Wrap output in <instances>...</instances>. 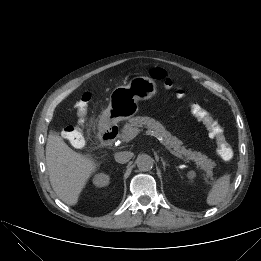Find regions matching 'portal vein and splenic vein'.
<instances>
[{
	"label": "portal vein and splenic vein",
	"instance_id": "1",
	"mask_svg": "<svg viewBox=\"0 0 261 261\" xmlns=\"http://www.w3.org/2000/svg\"><path fill=\"white\" fill-rule=\"evenodd\" d=\"M140 131H141V130L138 129V128H133V129H131V130L127 133V140H132V139H134V138L140 133ZM158 139H159V140H162L160 137H158ZM166 149H167L172 155H174V156H176L177 158H179V159H181V160L187 162V159H186L184 156H182L181 154H179V153L173 151L172 149H170V148H168V147H166Z\"/></svg>",
	"mask_w": 261,
	"mask_h": 261
}]
</instances>
